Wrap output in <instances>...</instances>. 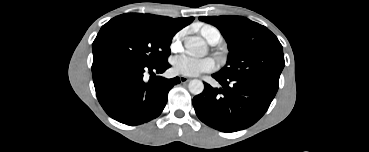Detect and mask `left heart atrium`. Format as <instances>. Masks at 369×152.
<instances>
[{
	"label": "left heart atrium",
	"instance_id": "39dd6f15",
	"mask_svg": "<svg viewBox=\"0 0 369 152\" xmlns=\"http://www.w3.org/2000/svg\"><path fill=\"white\" fill-rule=\"evenodd\" d=\"M173 67L176 73L183 76H198L212 71L215 61L210 57L198 58L184 54L173 60Z\"/></svg>",
	"mask_w": 369,
	"mask_h": 152
}]
</instances>
